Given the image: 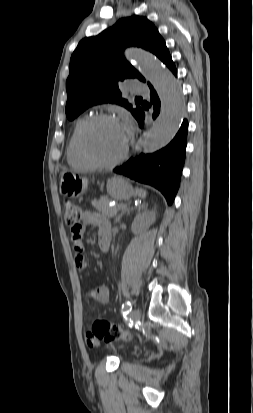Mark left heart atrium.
<instances>
[{"mask_svg": "<svg viewBox=\"0 0 253 413\" xmlns=\"http://www.w3.org/2000/svg\"><path fill=\"white\" fill-rule=\"evenodd\" d=\"M122 128H123V131H124V133H125L126 140H127V135H128V133L130 132V130H131L130 123H129L128 121H126V122L122 125Z\"/></svg>", "mask_w": 253, "mask_h": 413, "instance_id": "obj_1", "label": "left heart atrium"}]
</instances>
